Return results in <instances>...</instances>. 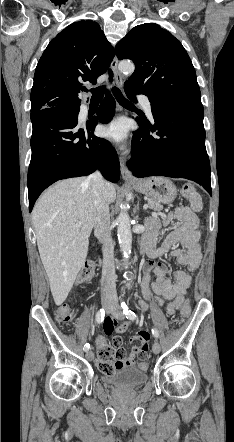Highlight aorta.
<instances>
[{"mask_svg":"<svg viewBox=\"0 0 234 442\" xmlns=\"http://www.w3.org/2000/svg\"><path fill=\"white\" fill-rule=\"evenodd\" d=\"M135 66L132 62L122 61L119 63V70L124 74H132ZM117 235L120 248L125 259H128L132 249V232L130 217L126 208L122 209L117 218Z\"/></svg>","mask_w":234,"mask_h":442,"instance_id":"obj_1","label":"aorta"}]
</instances>
